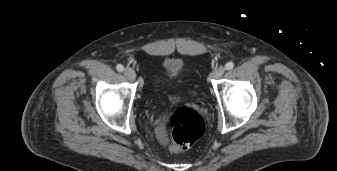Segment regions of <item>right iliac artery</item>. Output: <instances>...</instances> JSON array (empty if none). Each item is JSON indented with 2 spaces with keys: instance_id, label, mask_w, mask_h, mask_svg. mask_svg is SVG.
<instances>
[{
  "instance_id": "right-iliac-artery-1",
  "label": "right iliac artery",
  "mask_w": 337,
  "mask_h": 171,
  "mask_svg": "<svg viewBox=\"0 0 337 171\" xmlns=\"http://www.w3.org/2000/svg\"><path fill=\"white\" fill-rule=\"evenodd\" d=\"M116 69H117V71L122 72V71L124 70V67H123V65L118 64V65L116 66Z\"/></svg>"
}]
</instances>
